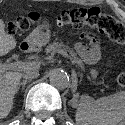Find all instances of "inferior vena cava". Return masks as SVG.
<instances>
[{"label":"inferior vena cava","mask_w":125,"mask_h":125,"mask_svg":"<svg viewBox=\"0 0 125 125\" xmlns=\"http://www.w3.org/2000/svg\"><path fill=\"white\" fill-rule=\"evenodd\" d=\"M39 76V72L37 70H29L25 74H23V77L26 80H31L34 78H37Z\"/></svg>","instance_id":"inferior-vena-cava-1"}]
</instances>
